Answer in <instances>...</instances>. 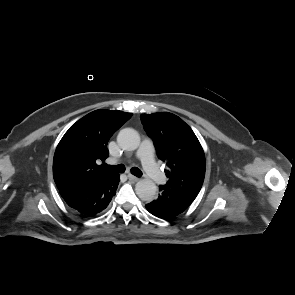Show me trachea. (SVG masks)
<instances>
[{
  "mask_svg": "<svg viewBox=\"0 0 295 295\" xmlns=\"http://www.w3.org/2000/svg\"><path fill=\"white\" fill-rule=\"evenodd\" d=\"M107 167L113 169L116 172L119 173H123L125 171V166L123 164H119V165H107ZM131 173L137 177H141L142 176V172L140 169H138L137 167H132L131 168Z\"/></svg>",
  "mask_w": 295,
  "mask_h": 295,
  "instance_id": "1",
  "label": "trachea"
}]
</instances>
